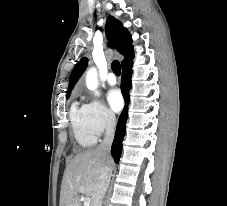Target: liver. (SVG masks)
Listing matches in <instances>:
<instances>
[{"label": "liver", "mask_w": 227, "mask_h": 206, "mask_svg": "<svg viewBox=\"0 0 227 206\" xmlns=\"http://www.w3.org/2000/svg\"><path fill=\"white\" fill-rule=\"evenodd\" d=\"M113 162L98 149H91L77 154L68 162L60 192L59 206H81L79 193L93 197L98 178L103 169L112 171ZM80 187L85 191L81 192Z\"/></svg>", "instance_id": "1"}]
</instances>
